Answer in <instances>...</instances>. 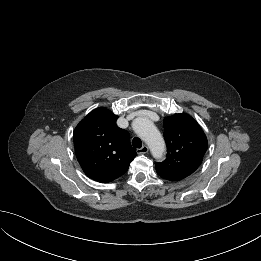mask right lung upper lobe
Returning a JSON list of instances; mask_svg holds the SVG:
<instances>
[{
    "instance_id": "cb5924a9",
    "label": "right lung upper lobe",
    "mask_w": 261,
    "mask_h": 261,
    "mask_svg": "<svg viewBox=\"0 0 261 261\" xmlns=\"http://www.w3.org/2000/svg\"><path fill=\"white\" fill-rule=\"evenodd\" d=\"M117 118L106 108H96L73 133L80 166L89 178L98 182H110L123 175L137 155L129 133L117 126Z\"/></svg>"
}]
</instances>
